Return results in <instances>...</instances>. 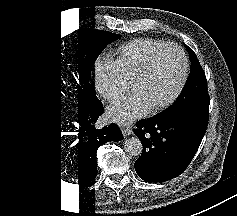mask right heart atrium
I'll list each match as a JSON object with an SVG mask.
<instances>
[{
  "instance_id": "d8ad5b80",
  "label": "right heart atrium",
  "mask_w": 237,
  "mask_h": 216,
  "mask_svg": "<svg viewBox=\"0 0 237 216\" xmlns=\"http://www.w3.org/2000/svg\"><path fill=\"white\" fill-rule=\"evenodd\" d=\"M123 76L119 68L111 62H104L92 72V83L102 98L116 97L122 89Z\"/></svg>"
}]
</instances>
